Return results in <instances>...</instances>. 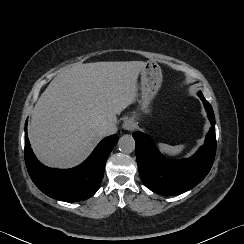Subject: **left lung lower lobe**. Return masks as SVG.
<instances>
[{
	"label": "left lung lower lobe",
	"mask_w": 244,
	"mask_h": 244,
	"mask_svg": "<svg viewBox=\"0 0 244 244\" xmlns=\"http://www.w3.org/2000/svg\"><path fill=\"white\" fill-rule=\"evenodd\" d=\"M205 109L212 127L205 144L188 159L169 160L161 155L149 135L133 133L139 174L149 189L166 196L183 193L200 183L208 174L215 157L216 137L213 109L209 103Z\"/></svg>",
	"instance_id": "left-lung-lower-lobe-1"
}]
</instances>
